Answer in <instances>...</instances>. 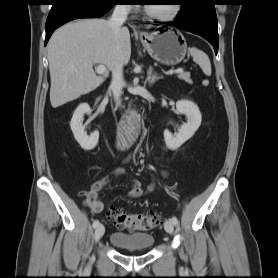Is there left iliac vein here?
I'll list each match as a JSON object with an SVG mask.
<instances>
[{"mask_svg":"<svg viewBox=\"0 0 278 278\" xmlns=\"http://www.w3.org/2000/svg\"><path fill=\"white\" fill-rule=\"evenodd\" d=\"M164 229L167 233L172 234L174 230V224L171 220H166L164 223Z\"/></svg>","mask_w":278,"mask_h":278,"instance_id":"left-iliac-vein-1","label":"left iliac vein"}]
</instances>
